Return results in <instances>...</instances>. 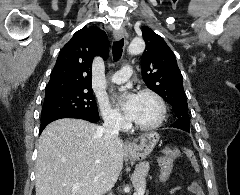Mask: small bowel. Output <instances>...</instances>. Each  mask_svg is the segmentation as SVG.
I'll list each match as a JSON object with an SVG mask.
<instances>
[{
	"mask_svg": "<svg viewBox=\"0 0 240 195\" xmlns=\"http://www.w3.org/2000/svg\"><path fill=\"white\" fill-rule=\"evenodd\" d=\"M201 188V187H200ZM179 190V187H173L169 190V195H175ZM187 190L190 192L189 186L187 187ZM193 195H205L204 193H191Z\"/></svg>",
	"mask_w": 240,
	"mask_h": 195,
	"instance_id": "small-bowel-1",
	"label": "small bowel"
}]
</instances>
